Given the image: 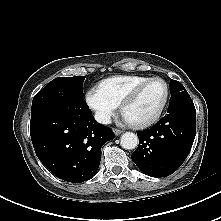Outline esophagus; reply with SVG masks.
<instances>
[{
    "instance_id": "34e87169",
    "label": "esophagus",
    "mask_w": 221,
    "mask_h": 221,
    "mask_svg": "<svg viewBox=\"0 0 221 221\" xmlns=\"http://www.w3.org/2000/svg\"><path fill=\"white\" fill-rule=\"evenodd\" d=\"M113 132H114V134H115L116 136H118V135H120L123 131L120 130V129L114 128V129H113Z\"/></svg>"
}]
</instances>
